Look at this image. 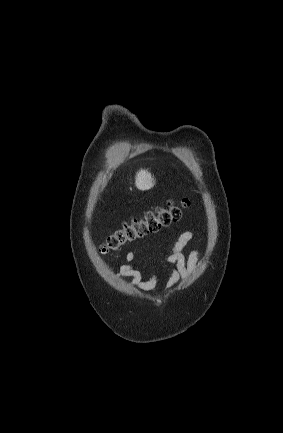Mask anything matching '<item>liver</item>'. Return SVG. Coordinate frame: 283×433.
I'll list each match as a JSON object with an SVG mask.
<instances>
[{"label": "liver", "mask_w": 283, "mask_h": 433, "mask_svg": "<svg viewBox=\"0 0 283 433\" xmlns=\"http://www.w3.org/2000/svg\"><path fill=\"white\" fill-rule=\"evenodd\" d=\"M135 184L139 190H148V188H152L155 184L154 178H152L151 172L148 170H138L135 176Z\"/></svg>", "instance_id": "6515ba94"}]
</instances>
